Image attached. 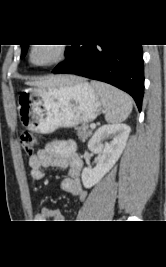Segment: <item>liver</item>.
<instances>
[{"instance_id": "6515ba94", "label": "liver", "mask_w": 166, "mask_h": 267, "mask_svg": "<svg viewBox=\"0 0 166 267\" xmlns=\"http://www.w3.org/2000/svg\"><path fill=\"white\" fill-rule=\"evenodd\" d=\"M78 81H81V79L75 76L63 75V76H52L39 81H29L26 82V84L38 87H53L59 85H73Z\"/></svg>"}]
</instances>
